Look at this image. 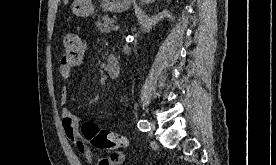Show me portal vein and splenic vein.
I'll list each match as a JSON object with an SVG mask.
<instances>
[{"label":"portal vein and splenic vein","instance_id":"1","mask_svg":"<svg viewBox=\"0 0 276 165\" xmlns=\"http://www.w3.org/2000/svg\"><path fill=\"white\" fill-rule=\"evenodd\" d=\"M111 29H112V30H118L119 27H118L117 25H114V24H113V25L111 26Z\"/></svg>","mask_w":276,"mask_h":165}]
</instances>
